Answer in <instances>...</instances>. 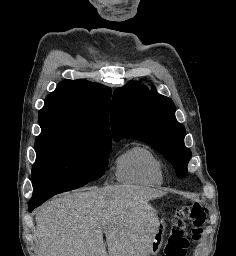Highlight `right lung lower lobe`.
Instances as JSON below:
<instances>
[{"label":"right lung lower lobe","instance_id":"1","mask_svg":"<svg viewBox=\"0 0 236 256\" xmlns=\"http://www.w3.org/2000/svg\"><path fill=\"white\" fill-rule=\"evenodd\" d=\"M54 196V195H53ZM52 197V196H50ZM50 197L38 200V201H29V206H28V210L30 212H32V210L38 206H40L42 203H44L47 199H49Z\"/></svg>","mask_w":236,"mask_h":256}]
</instances>
